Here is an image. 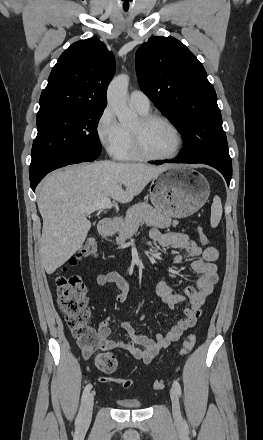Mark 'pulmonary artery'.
<instances>
[{
    "mask_svg": "<svg viewBox=\"0 0 263 440\" xmlns=\"http://www.w3.org/2000/svg\"><path fill=\"white\" fill-rule=\"evenodd\" d=\"M130 105L137 111L146 112L150 108L149 98L140 90H133L129 95Z\"/></svg>",
    "mask_w": 263,
    "mask_h": 440,
    "instance_id": "obj_1",
    "label": "pulmonary artery"
}]
</instances>
